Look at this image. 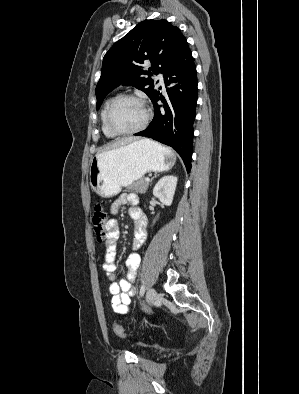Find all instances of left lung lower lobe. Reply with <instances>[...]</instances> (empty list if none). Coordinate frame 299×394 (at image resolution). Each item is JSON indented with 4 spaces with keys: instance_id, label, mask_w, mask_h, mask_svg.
Returning a JSON list of instances; mask_svg holds the SVG:
<instances>
[{
    "instance_id": "left-lung-lower-lobe-1",
    "label": "left lung lower lobe",
    "mask_w": 299,
    "mask_h": 394,
    "mask_svg": "<svg viewBox=\"0 0 299 394\" xmlns=\"http://www.w3.org/2000/svg\"><path fill=\"white\" fill-rule=\"evenodd\" d=\"M166 97L157 91L151 100L155 114L150 125L137 136L150 137L171 146L191 169L193 122L197 104L196 66L188 44L177 59L163 72ZM161 100L162 105L157 101Z\"/></svg>"
}]
</instances>
